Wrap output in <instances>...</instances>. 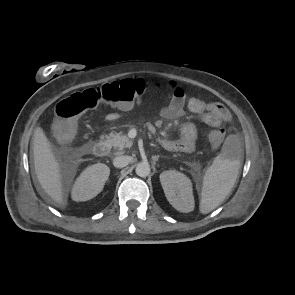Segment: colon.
I'll use <instances>...</instances> for the list:
<instances>
[{
	"label": "colon",
	"instance_id": "colon-1",
	"mask_svg": "<svg viewBox=\"0 0 295 295\" xmlns=\"http://www.w3.org/2000/svg\"><path fill=\"white\" fill-rule=\"evenodd\" d=\"M148 88V84L142 79H122L71 94L56 106L53 125L55 138L61 143L70 141L76 132L77 120L88 110L101 105L132 108L146 94ZM207 138L213 146L219 147L225 138V131L219 128L210 130Z\"/></svg>",
	"mask_w": 295,
	"mask_h": 295
}]
</instances>
